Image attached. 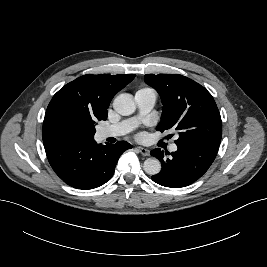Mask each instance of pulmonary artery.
I'll return each mask as SVG.
<instances>
[{
	"mask_svg": "<svg viewBox=\"0 0 267 267\" xmlns=\"http://www.w3.org/2000/svg\"><path fill=\"white\" fill-rule=\"evenodd\" d=\"M135 100L137 102L139 111L141 115H145L152 110L156 102V94L153 90L148 91H138L135 94ZM135 120H127L121 123L111 125L108 127L101 128L98 131V136L101 139H106L108 137L121 136L128 133L134 126ZM178 147L176 144H171L170 150L175 152Z\"/></svg>",
	"mask_w": 267,
	"mask_h": 267,
	"instance_id": "1",
	"label": "pulmonary artery"
}]
</instances>
